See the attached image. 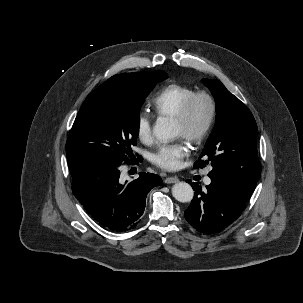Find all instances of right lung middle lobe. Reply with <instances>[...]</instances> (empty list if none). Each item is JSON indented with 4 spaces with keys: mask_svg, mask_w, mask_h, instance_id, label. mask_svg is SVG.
<instances>
[{
    "mask_svg": "<svg viewBox=\"0 0 303 303\" xmlns=\"http://www.w3.org/2000/svg\"><path fill=\"white\" fill-rule=\"evenodd\" d=\"M166 78L167 73L154 71L133 84L113 76L90 93L66 142L71 174L92 162L119 166L130 161L139 133V107L156 83Z\"/></svg>",
    "mask_w": 303,
    "mask_h": 303,
    "instance_id": "right-lung-middle-lobe-1",
    "label": "right lung middle lobe"
}]
</instances>
